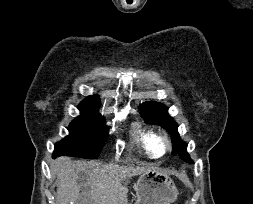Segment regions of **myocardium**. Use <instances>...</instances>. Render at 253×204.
Listing matches in <instances>:
<instances>
[{
  "label": "myocardium",
  "instance_id": "f54148a6",
  "mask_svg": "<svg viewBox=\"0 0 253 204\" xmlns=\"http://www.w3.org/2000/svg\"><path fill=\"white\" fill-rule=\"evenodd\" d=\"M159 145L163 151H167L172 148L171 139L167 134H162L159 136Z\"/></svg>",
  "mask_w": 253,
  "mask_h": 204
}]
</instances>
